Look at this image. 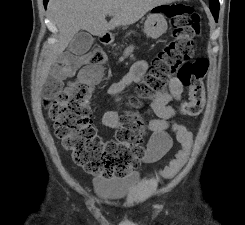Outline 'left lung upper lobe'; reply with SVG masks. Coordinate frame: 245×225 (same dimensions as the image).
Returning <instances> with one entry per match:
<instances>
[{
  "label": "left lung upper lobe",
  "instance_id": "obj_1",
  "mask_svg": "<svg viewBox=\"0 0 245 225\" xmlns=\"http://www.w3.org/2000/svg\"><path fill=\"white\" fill-rule=\"evenodd\" d=\"M209 5L215 20H217L219 14V0H210Z\"/></svg>",
  "mask_w": 245,
  "mask_h": 225
}]
</instances>
